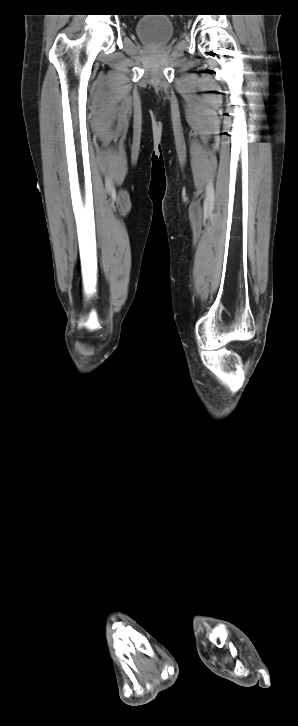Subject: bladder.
<instances>
[{
    "label": "bladder",
    "mask_w": 298,
    "mask_h": 726,
    "mask_svg": "<svg viewBox=\"0 0 298 726\" xmlns=\"http://www.w3.org/2000/svg\"><path fill=\"white\" fill-rule=\"evenodd\" d=\"M137 37L146 44L162 46L174 35V26L163 14H145L134 24Z\"/></svg>",
    "instance_id": "31cf9c89"
}]
</instances>
